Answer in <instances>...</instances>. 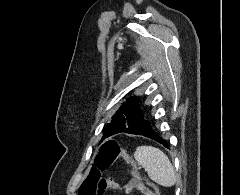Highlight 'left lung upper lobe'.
<instances>
[{"label":"left lung upper lobe","instance_id":"left-lung-upper-lobe-1","mask_svg":"<svg viewBox=\"0 0 240 195\" xmlns=\"http://www.w3.org/2000/svg\"><path fill=\"white\" fill-rule=\"evenodd\" d=\"M141 114L140 106L136 97H130L122 104L113 115L112 122L104 127V137L122 132Z\"/></svg>","mask_w":240,"mask_h":195}]
</instances>
